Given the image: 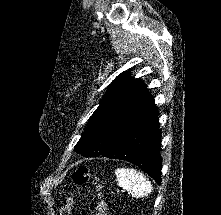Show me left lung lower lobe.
Here are the masks:
<instances>
[{
  "mask_svg": "<svg viewBox=\"0 0 221 215\" xmlns=\"http://www.w3.org/2000/svg\"><path fill=\"white\" fill-rule=\"evenodd\" d=\"M160 146L158 111L146 92L115 126L102 157L134 163L161 183Z\"/></svg>",
  "mask_w": 221,
  "mask_h": 215,
  "instance_id": "obj_1",
  "label": "left lung lower lobe"
}]
</instances>
